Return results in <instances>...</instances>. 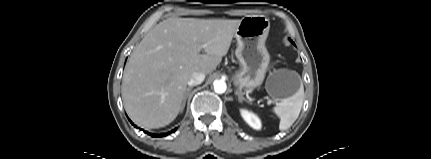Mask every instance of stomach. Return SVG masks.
I'll return each mask as SVG.
<instances>
[{
  "label": "stomach",
  "instance_id": "1",
  "mask_svg": "<svg viewBox=\"0 0 431 159\" xmlns=\"http://www.w3.org/2000/svg\"><path fill=\"white\" fill-rule=\"evenodd\" d=\"M269 29V19L264 15L245 16L237 27L235 55L240 62V70L234 76V84L240 90L257 88L264 81L270 61L265 46ZM265 87L272 98L282 101L299 91L300 76L294 71L277 70L269 74Z\"/></svg>",
  "mask_w": 431,
  "mask_h": 159
}]
</instances>
